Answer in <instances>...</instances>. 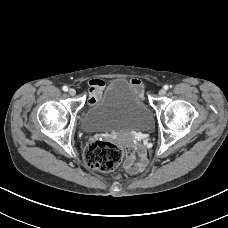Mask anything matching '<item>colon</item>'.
<instances>
[{
	"label": "colon",
	"mask_w": 228,
	"mask_h": 228,
	"mask_svg": "<svg viewBox=\"0 0 228 228\" xmlns=\"http://www.w3.org/2000/svg\"><path fill=\"white\" fill-rule=\"evenodd\" d=\"M123 149L108 141H94L84 153L85 163L101 172L113 171L123 160Z\"/></svg>",
	"instance_id": "obj_1"
}]
</instances>
